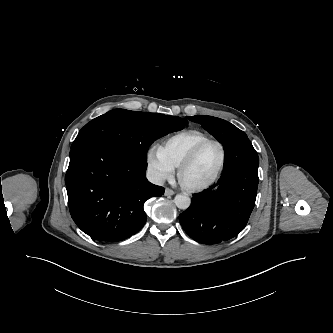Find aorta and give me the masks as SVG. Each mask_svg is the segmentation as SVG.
Listing matches in <instances>:
<instances>
[{
    "label": "aorta",
    "mask_w": 333,
    "mask_h": 333,
    "mask_svg": "<svg viewBox=\"0 0 333 333\" xmlns=\"http://www.w3.org/2000/svg\"><path fill=\"white\" fill-rule=\"evenodd\" d=\"M175 205L182 210H186L190 204H191V199L183 194H177L174 198Z\"/></svg>",
    "instance_id": "762f6f07"
}]
</instances>
